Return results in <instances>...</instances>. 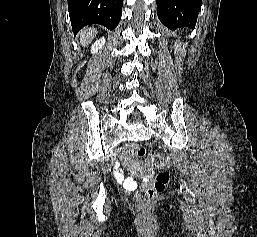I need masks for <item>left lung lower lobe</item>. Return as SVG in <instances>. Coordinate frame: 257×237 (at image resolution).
Wrapping results in <instances>:
<instances>
[{"instance_id":"1","label":"left lung lower lobe","mask_w":257,"mask_h":237,"mask_svg":"<svg viewBox=\"0 0 257 237\" xmlns=\"http://www.w3.org/2000/svg\"><path fill=\"white\" fill-rule=\"evenodd\" d=\"M202 0H157L159 20L169 29H194Z\"/></svg>"}]
</instances>
